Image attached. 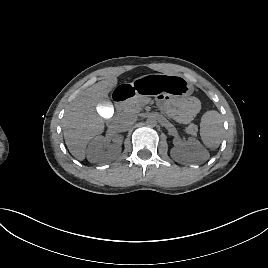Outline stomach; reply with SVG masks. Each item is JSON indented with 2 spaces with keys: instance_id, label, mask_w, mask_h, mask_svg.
<instances>
[{
  "instance_id": "1",
  "label": "stomach",
  "mask_w": 268,
  "mask_h": 268,
  "mask_svg": "<svg viewBox=\"0 0 268 268\" xmlns=\"http://www.w3.org/2000/svg\"><path fill=\"white\" fill-rule=\"evenodd\" d=\"M136 95L151 96L166 93L172 96H189L193 93L192 83L182 75L152 73L140 76L130 83Z\"/></svg>"
}]
</instances>
